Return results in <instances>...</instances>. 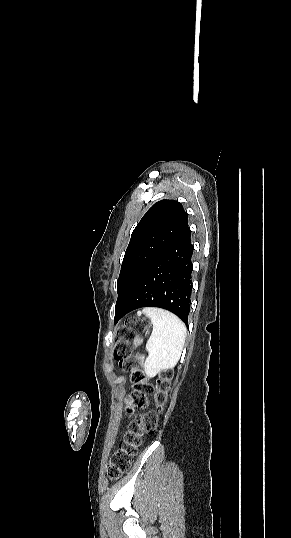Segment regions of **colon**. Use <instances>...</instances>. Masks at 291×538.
I'll return each mask as SVG.
<instances>
[{
	"mask_svg": "<svg viewBox=\"0 0 291 538\" xmlns=\"http://www.w3.org/2000/svg\"><path fill=\"white\" fill-rule=\"evenodd\" d=\"M149 325L146 318H129L119 331L120 340L114 351V356L119 361L120 367L130 373L132 380V392L127 399L126 407L128 414H133L135 409H146L149 405V396H153L157 408H161L167 401L172 373L162 372L156 385L153 386L139 369V359L132 354L130 346V341L134 339L135 334L146 331ZM157 427L158 415L155 411L135 415L117 451L107 465V474L111 479H118L129 470L142 437L154 433Z\"/></svg>",
	"mask_w": 291,
	"mask_h": 538,
	"instance_id": "5ec220e1",
	"label": "colon"
}]
</instances>
